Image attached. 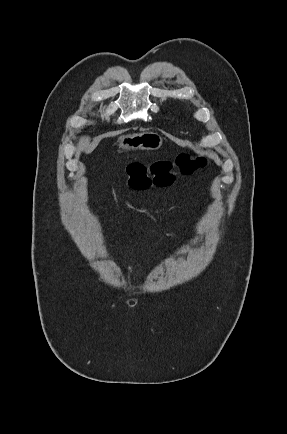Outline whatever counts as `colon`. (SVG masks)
Wrapping results in <instances>:
<instances>
[{"mask_svg": "<svg viewBox=\"0 0 287 434\" xmlns=\"http://www.w3.org/2000/svg\"><path fill=\"white\" fill-rule=\"evenodd\" d=\"M206 164L204 156L179 154L174 161L158 160L147 166L132 163L126 166L128 184L136 190H145L151 186L165 187L171 185L178 175H190Z\"/></svg>", "mask_w": 287, "mask_h": 434, "instance_id": "obj_1", "label": "colon"}]
</instances>
